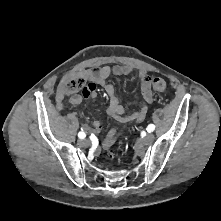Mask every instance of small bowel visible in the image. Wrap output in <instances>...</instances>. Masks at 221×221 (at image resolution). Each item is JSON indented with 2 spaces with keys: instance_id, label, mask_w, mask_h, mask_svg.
<instances>
[{
  "instance_id": "1",
  "label": "small bowel",
  "mask_w": 221,
  "mask_h": 221,
  "mask_svg": "<svg viewBox=\"0 0 221 221\" xmlns=\"http://www.w3.org/2000/svg\"><path fill=\"white\" fill-rule=\"evenodd\" d=\"M131 73L132 68L128 65L115 67L106 65L98 68L83 70L79 73V75L87 79L89 82L83 86L81 95H74L70 98V103L75 107H79L82 104L83 99L95 98L97 96L96 91L98 90V85H100L104 88V91L109 98V106L107 110L109 116L123 124L139 123L145 119L147 114V105L151 104L153 101L150 76L145 71L139 72L138 76L140 79L143 106L139 110L129 115L125 114V108L119 101L115 87L112 84L107 83V79L111 75H130ZM67 79L68 78L61 82L56 95V102L59 109H61L63 105L65 94L63 93L62 88ZM82 128L84 130H92L94 133H98L102 129V124L99 121H93L91 124H83ZM118 136V130L111 129L108 131L103 140V146L105 148L112 146Z\"/></svg>"
}]
</instances>
